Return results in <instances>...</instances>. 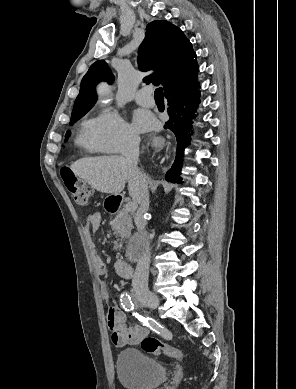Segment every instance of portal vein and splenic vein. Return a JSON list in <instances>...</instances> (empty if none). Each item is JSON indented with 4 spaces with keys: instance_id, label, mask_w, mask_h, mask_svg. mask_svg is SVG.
<instances>
[{
    "instance_id": "18ae733b",
    "label": "portal vein and splenic vein",
    "mask_w": 296,
    "mask_h": 389,
    "mask_svg": "<svg viewBox=\"0 0 296 389\" xmlns=\"http://www.w3.org/2000/svg\"><path fill=\"white\" fill-rule=\"evenodd\" d=\"M136 208H137V204L134 201L128 202L126 205V209L128 211H134V210H136Z\"/></svg>"
}]
</instances>
